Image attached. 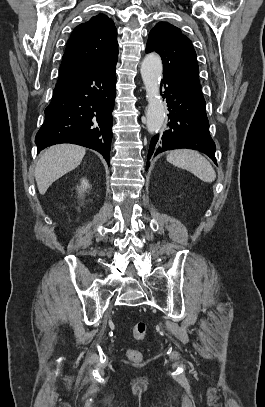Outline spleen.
Returning <instances> with one entry per match:
<instances>
[{"label": "spleen", "instance_id": "spleen-1", "mask_svg": "<svg viewBox=\"0 0 265 407\" xmlns=\"http://www.w3.org/2000/svg\"><path fill=\"white\" fill-rule=\"evenodd\" d=\"M167 161L174 166L190 171L204 182L210 183L216 179V172L212 165L197 151L174 150L167 156Z\"/></svg>", "mask_w": 265, "mask_h": 407}]
</instances>
